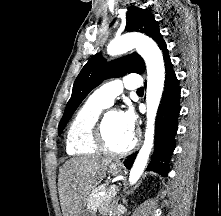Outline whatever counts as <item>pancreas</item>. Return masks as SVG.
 I'll return each instance as SVG.
<instances>
[{"instance_id":"1","label":"pancreas","mask_w":221,"mask_h":216,"mask_svg":"<svg viewBox=\"0 0 221 216\" xmlns=\"http://www.w3.org/2000/svg\"><path fill=\"white\" fill-rule=\"evenodd\" d=\"M107 189L106 185H102L90 194L87 202V206L90 210L94 212L97 211V209L100 212L109 210V205L116 194V189L108 191L105 195L98 194L100 191H106Z\"/></svg>"}]
</instances>
